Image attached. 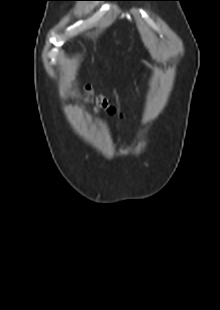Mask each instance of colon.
Masks as SVG:
<instances>
[{
	"instance_id": "obj_1",
	"label": "colon",
	"mask_w": 220,
	"mask_h": 310,
	"mask_svg": "<svg viewBox=\"0 0 220 310\" xmlns=\"http://www.w3.org/2000/svg\"><path fill=\"white\" fill-rule=\"evenodd\" d=\"M82 92L84 101L95 109L112 115L116 113V109L111 106L104 97L95 95L89 86L84 85L82 87Z\"/></svg>"
}]
</instances>
